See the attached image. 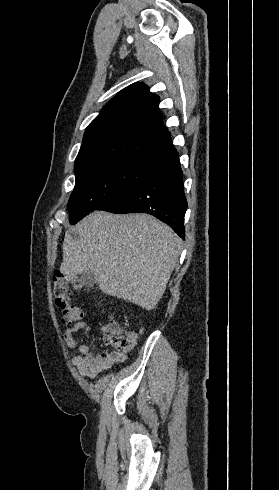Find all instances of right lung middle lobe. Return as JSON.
<instances>
[{"mask_svg": "<svg viewBox=\"0 0 279 490\" xmlns=\"http://www.w3.org/2000/svg\"><path fill=\"white\" fill-rule=\"evenodd\" d=\"M155 163L126 159L96 161L75 169L76 183L68 202L70 223L76 224L113 192L138 182Z\"/></svg>", "mask_w": 279, "mask_h": 490, "instance_id": "obj_1", "label": "right lung middle lobe"}]
</instances>
